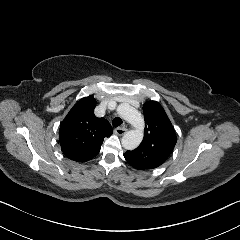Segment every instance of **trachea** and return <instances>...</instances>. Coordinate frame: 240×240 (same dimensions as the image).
<instances>
[{
  "label": "trachea",
  "mask_w": 240,
  "mask_h": 240,
  "mask_svg": "<svg viewBox=\"0 0 240 240\" xmlns=\"http://www.w3.org/2000/svg\"><path fill=\"white\" fill-rule=\"evenodd\" d=\"M122 124V119L120 117H115L112 121L114 127H118Z\"/></svg>",
  "instance_id": "1"
}]
</instances>
